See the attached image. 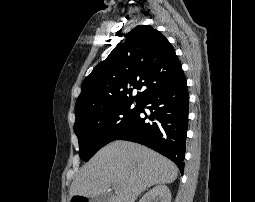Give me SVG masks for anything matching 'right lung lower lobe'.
Instances as JSON below:
<instances>
[{"label": "right lung lower lobe", "instance_id": "right-lung-lower-lobe-1", "mask_svg": "<svg viewBox=\"0 0 255 202\" xmlns=\"http://www.w3.org/2000/svg\"><path fill=\"white\" fill-rule=\"evenodd\" d=\"M140 104L137 117L116 140L150 147L172 160L183 174L189 112L186 80L149 95ZM144 106L151 115L145 113Z\"/></svg>", "mask_w": 255, "mask_h": 202}]
</instances>
